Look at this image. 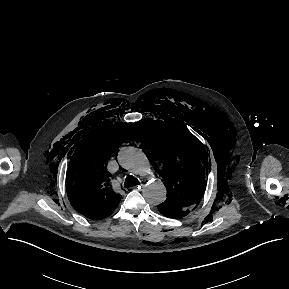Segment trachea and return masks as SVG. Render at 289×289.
<instances>
[{
  "label": "trachea",
  "instance_id": "obj_1",
  "mask_svg": "<svg viewBox=\"0 0 289 289\" xmlns=\"http://www.w3.org/2000/svg\"><path fill=\"white\" fill-rule=\"evenodd\" d=\"M139 184H140L139 181L134 176L128 175L125 179L124 187L129 188V187L136 186Z\"/></svg>",
  "mask_w": 289,
  "mask_h": 289
}]
</instances>
